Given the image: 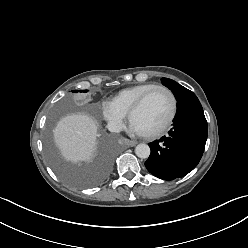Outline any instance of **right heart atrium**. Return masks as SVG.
Segmentation results:
<instances>
[{
  "label": "right heart atrium",
  "instance_id": "d8ad5b80",
  "mask_svg": "<svg viewBox=\"0 0 248 248\" xmlns=\"http://www.w3.org/2000/svg\"><path fill=\"white\" fill-rule=\"evenodd\" d=\"M102 114L104 119L114 129H120L124 125L126 115L116 108L111 102L103 105Z\"/></svg>",
  "mask_w": 248,
  "mask_h": 248
}]
</instances>
